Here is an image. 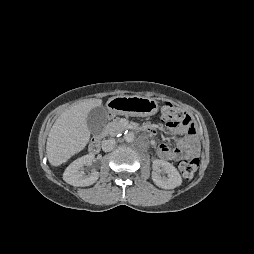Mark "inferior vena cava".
I'll return each instance as SVG.
<instances>
[{
    "label": "inferior vena cava",
    "instance_id": "602c4592",
    "mask_svg": "<svg viewBox=\"0 0 254 254\" xmlns=\"http://www.w3.org/2000/svg\"><path fill=\"white\" fill-rule=\"evenodd\" d=\"M115 140L114 139H107L102 141V149L105 152L111 151L115 147Z\"/></svg>",
    "mask_w": 254,
    "mask_h": 254
}]
</instances>
